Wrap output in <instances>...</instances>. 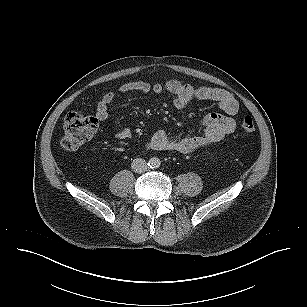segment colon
Wrapping results in <instances>:
<instances>
[{
  "instance_id": "colon-1",
  "label": "colon",
  "mask_w": 307,
  "mask_h": 307,
  "mask_svg": "<svg viewBox=\"0 0 307 307\" xmlns=\"http://www.w3.org/2000/svg\"><path fill=\"white\" fill-rule=\"evenodd\" d=\"M98 121L95 117L80 112L69 113L64 121L62 145L68 150L76 149L89 141L96 133ZM242 131L253 133L255 123L251 116H245L240 123Z\"/></svg>"
}]
</instances>
